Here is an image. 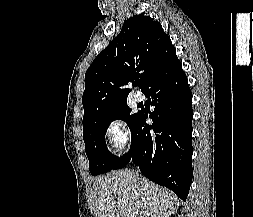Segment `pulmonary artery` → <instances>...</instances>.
I'll return each mask as SVG.
<instances>
[{
	"mask_svg": "<svg viewBox=\"0 0 253 217\" xmlns=\"http://www.w3.org/2000/svg\"><path fill=\"white\" fill-rule=\"evenodd\" d=\"M134 99H135V101H137V102H142V101L144 100V95H143L141 92L136 91V92L134 93Z\"/></svg>",
	"mask_w": 253,
	"mask_h": 217,
	"instance_id": "obj_1",
	"label": "pulmonary artery"
}]
</instances>
